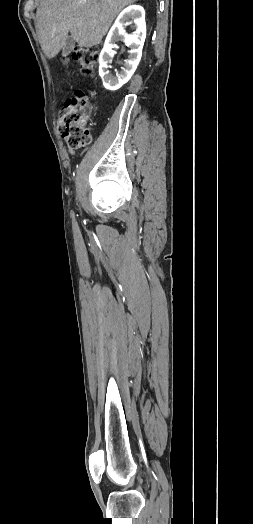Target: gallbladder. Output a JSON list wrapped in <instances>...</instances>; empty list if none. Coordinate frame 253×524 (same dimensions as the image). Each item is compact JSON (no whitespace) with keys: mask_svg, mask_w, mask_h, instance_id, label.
I'll use <instances>...</instances> for the list:
<instances>
[{"mask_svg":"<svg viewBox=\"0 0 253 524\" xmlns=\"http://www.w3.org/2000/svg\"><path fill=\"white\" fill-rule=\"evenodd\" d=\"M75 42L71 36H69L63 46L62 56L66 57L74 49Z\"/></svg>","mask_w":253,"mask_h":524,"instance_id":"bac80fb5","label":"gallbladder"}]
</instances>
